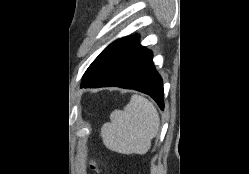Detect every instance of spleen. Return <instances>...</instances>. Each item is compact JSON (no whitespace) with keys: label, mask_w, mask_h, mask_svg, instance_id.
Masks as SVG:
<instances>
[{"label":"spleen","mask_w":249,"mask_h":174,"mask_svg":"<svg viewBox=\"0 0 249 174\" xmlns=\"http://www.w3.org/2000/svg\"><path fill=\"white\" fill-rule=\"evenodd\" d=\"M111 122L101 128L104 145L121 154L148 152L160 126L154 105L141 95H133L123 110L111 113Z\"/></svg>","instance_id":"3e777b00"}]
</instances>
